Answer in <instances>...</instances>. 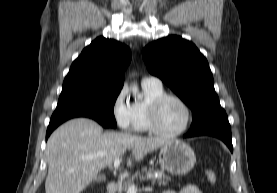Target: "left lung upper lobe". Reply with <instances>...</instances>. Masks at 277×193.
<instances>
[{
  "instance_id": "5c2ea615",
  "label": "left lung upper lobe",
  "mask_w": 277,
  "mask_h": 193,
  "mask_svg": "<svg viewBox=\"0 0 277 193\" xmlns=\"http://www.w3.org/2000/svg\"><path fill=\"white\" fill-rule=\"evenodd\" d=\"M142 56L149 72L162 79L191 108V129L226 115L215 92L209 64L192 42L168 36L145 47Z\"/></svg>"
}]
</instances>
